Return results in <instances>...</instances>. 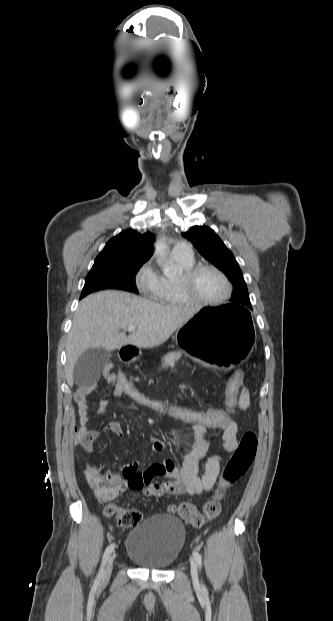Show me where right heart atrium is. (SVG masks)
<instances>
[{"instance_id":"obj_1","label":"right heart atrium","mask_w":333,"mask_h":621,"mask_svg":"<svg viewBox=\"0 0 333 621\" xmlns=\"http://www.w3.org/2000/svg\"><path fill=\"white\" fill-rule=\"evenodd\" d=\"M160 277L154 271L151 263L144 264L136 275V285L138 289L153 297L159 287Z\"/></svg>"}]
</instances>
